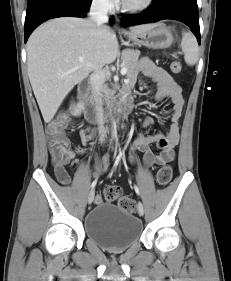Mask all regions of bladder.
I'll return each instance as SVG.
<instances>
[{
	"instance_id": "31cf9c89",
	"label": "bladder",
	"mask_w": 231,
	"mask_h": 281,
	"mask_svg": "<svg viewBox=\"0 0 231 281\" xmlns=\"http://www.w3.org/2000/svg\"><path fill=\"white\" fill-rule=\"evenodd\" d=\"M86 236L100 247L113 252L124 251L142 235L140 219L111 203H101L85 217Z\"/></svg>"
}]
</instances>
